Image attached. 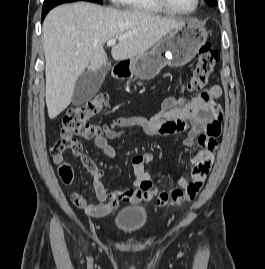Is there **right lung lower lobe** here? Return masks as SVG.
Returning a JSON list of instances; mask_svg holds the SVG:
<instances>
[{"mask_svg": "<svg viewBox=\"0 0 265 269\" xmlns=\"http://www.w3.org/2000/svg\"><path fill=\"white\" fill-rule=\"evenodd\" d=\"M75 1H88V0H44L41 21L44 20L46 14L53 7H55V6L59 5V4H62V3L75 2Z\"/></svg>", "mask_w": 265, "mask_h": 269, "instance_id": "obj_1", "label": "right lung lower lobe"}]
</instances>
